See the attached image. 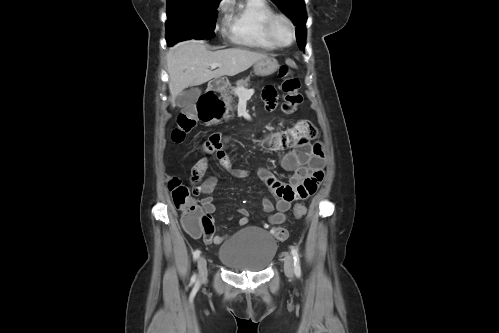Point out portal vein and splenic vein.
Returning a JSON list of instances; mask_svg holds the SVG:
<instances>
[{
	"instance_id": "18ae733b",
	"label": "portal vein and splenic vein",
	"mask_w": 499,
	"mask_h": 333,
	"mask_svg": "<svg viewBox=\"0 0 499 333\" xmlns=\"http://www.w3.org/2000/svg\"><path fill=\"white\" fill-rule=\"evenodd\" d=\"M219 66H221L220 63H212L211 64V69H215V68H217ZM234 91H235V94L239 98H246V99L250 98L253 95V93H254L253 90H247L244 87H237V88L234 89Z\"/></svg>"
}]
</instances>
